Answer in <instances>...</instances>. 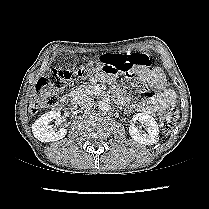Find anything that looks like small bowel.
I'll return each instance as SVG.
<instances>
[{
	"label": "small bowel",
	"mask_w": 209,
	"mask_h": 209,
	"mask_svg": "<svg viewBox=\"0 0 209 209\" xmlns=\"http://www.w3.org/2000/svg\"><path fill=\"white\" fill-rule=\"evenodd\" d=\"M136 75L146 87L144 90L146 98L132 105L136 111L162 116L175 106V92L166 87V76L161 68H150L148 65H140L136 69ZM95 79L110 82L113 78L109 73H99L95 76ZM114 94L119 101H126L121 91L115 90Z\"/></svg>",
	"instance_id": "1"
}]
</instances>
